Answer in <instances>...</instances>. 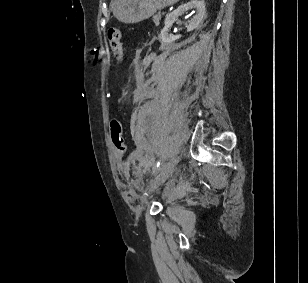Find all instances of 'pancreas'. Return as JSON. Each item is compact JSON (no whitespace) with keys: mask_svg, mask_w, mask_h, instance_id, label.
<instances>
[{"mask_svg":"<svg viewBox=\"0 0 308 283\" xmlns=\"http://www.w3.org/2000/svg\"><path fill=\"white\" fill-rule=\"evenodd\" d=\"M160 19H161V14L160 13L156 14L155 16H153V21L156 24V26L159 25Z\"/></svg>","mask_w":308,"mask_h":283,"instance_id":"obj_1","label":"pancreas"}]
</instances>
